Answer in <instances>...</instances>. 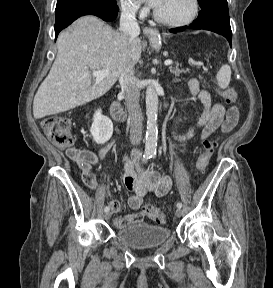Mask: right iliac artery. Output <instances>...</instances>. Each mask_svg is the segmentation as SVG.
Here are the masks:
<instances>
[{"label":"right iliac artery","instance_id":"obj_1","mask_svg":"<svg viewBox=\"0 0 273 288\" xmlns=\"http://www.w3.org/2000/svg\"><path fill=\"white\" fill-rule=\"evenodd\" d=\"M151 157V155H149V154H145L144 156H143V161H146L147 159H149ZM110 210V208L108 207V206H106L105 208H104V211L105 212H108Z\"/></svg>","mask_w":273,"mask_h":288}]
</instances>
